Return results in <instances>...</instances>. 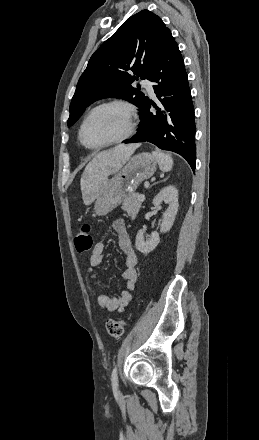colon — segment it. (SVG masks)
Listing matches in <instances>:
<instances>
[{
    "mask_svg": "<svg viewBox=\"0 0 259 440\" xmlns=\"http://www.w3.org/2000/svg\"><path fill=\"white\" fill-rule=\"evenodd\" d=\"M75 248L77 252L84 253L89 251L93 246V236L91 226L82 224L75 237ZM126 323L123 319H109L106 323V329L111 338L120 339L124 333Z\"/></svg>",
    "mask_w": 259,
    "mask_h": 440,
    "instance_id": "5ec220e1",
    "label": "colon"
}]
</instances>
